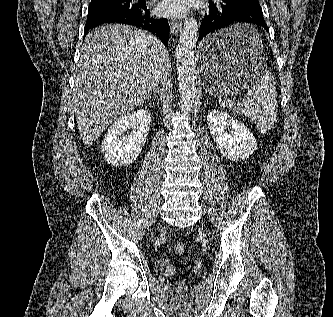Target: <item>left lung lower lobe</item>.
Returning a JSON list of instances; mask_svg holds the SVG:
<instances>
[{
  "instance_id": "0a47b994",
  "label": "left lung lower lobe",
  "mask_w": 333,
  "mask_h": 317,
  "mask_svg": "<svg viewBox=\"0 0 333 317\" xmlns=\"http://www.w3.org/2000/svg\"><path fill=\"white\" fill-rule=\"evenodd\" d=\"M238 23L257 24L269 32L258 0H214L209 2V8L202 18L199 40L211 32ZM222 51L219 47L211 49L217 55Z\"/></svg>"
}]
</instances>
